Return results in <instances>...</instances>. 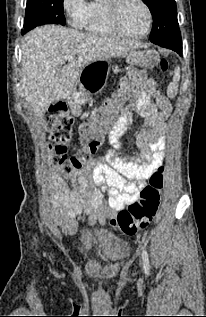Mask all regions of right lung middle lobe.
Segmentation results:
<instances>
[{"instance_id":"dd1d6c3e","label":"right lung middle lobe","mask_w":206,"mask_h":317,"mask_svg":"<svg viewBox=\"0 0 206 317\" xmlns=\"http://www.w3.org/2000/svg\"><path fill=\"white\" fill-rule=\"evenodd\" d=\"M44 24L65 25L63 0H27L22 33Z\"/></svg>"}]
</instances>
